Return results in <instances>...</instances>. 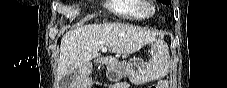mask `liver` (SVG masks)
<instances>
[{"mask_svg": "<svg viewBox=\"0 0 227 88\" xmlns=\"http://www.w3.org/2000/svg\"><path fill=\"white\" fill-rule=\"evenodd\" d=\"M158 34L128 24H90L66 32L60 45L58 80L80 69L109 48L113 53H135L146 44L156 41Z\"/></svg>", "mask_w": 227, "mask_h": 88, "instance_id": "6515ba94", "label": "liver"}]
</instances>
